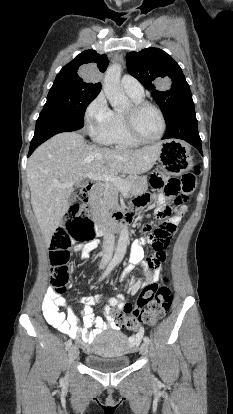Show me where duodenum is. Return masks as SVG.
<instances>
[{
	"instance_id": "410a0bca",
	"label": "duodenum",
	"mask_w": 233,
	"mask_h": 414,
	"mask_svg": "<svg viewBox=\"0 0 233 414\" xmlns=\"http://www.w3.org/2000/svg\"><path fill=\"white\" fill-rule=\"evenodd\" d=\"M87 196L81 199L84 205L88 204V207L92 210L91 220L95 221L96 229L99 234H103L109 230L116 231L123 228L131 220V216L123 211H116L109 222H105L102 219L101 205L97 203V199H100V190L97 187L88 186ZM94 195L91 197L90 195Z\"/></svg>"
}]
</instances>
